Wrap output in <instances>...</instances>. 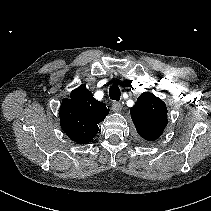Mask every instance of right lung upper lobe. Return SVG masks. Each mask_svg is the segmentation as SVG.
Segmentation results:
<instances>
[{
    "instance_id": "obj_1",
    "label": "right lung upper lobe",
    "mask_w": 211,
    "mask_h": 211,
    "mask_svg": "<svg viewBox=\"0 0 211 211\" xmlns=\"http://www.w3.org/2000/svg\"><path fill=\"white\" fill-rule=\"evenodd\" d=\"M62 106L67 114L63 122ZM106 105L94 97L85 87L73 90L69 98H64L60 108V121L64 132L79 144L88 143L98 132V124L108 115Z\"/></svg>"
}]
</instances>
